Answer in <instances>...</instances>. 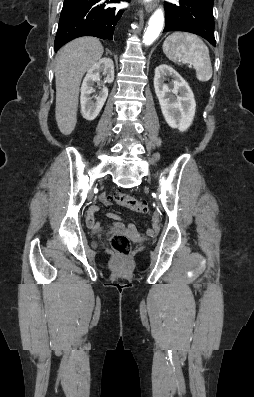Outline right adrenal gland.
Instances as JSON below:
<instances>
[{"mask_svg":"<svg viewBox=\"0 0 254 397\" xmlns=\"http://www.w3.org/2000/svg\"><path fill=\"white\" fill-rule=\"evenodd\" d=\"M109 53H110V52H109V50H108V49H106V55H107V54H109Z\"/></svg>","mask_w":254,"mask_h":397,"instance_id":"obj_1","label":"right adrenal gland"}]
</instances>
